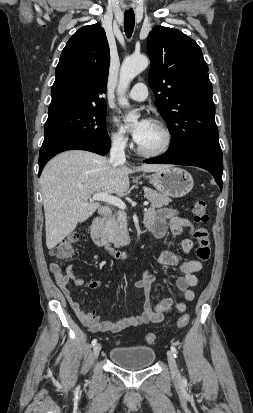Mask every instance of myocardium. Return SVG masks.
I'll use <instances>...</instances> for the list:
<instances>
[{"mask_svg": "<svg viewBox=\"0 0 253 413\" xmlns=\"http://www.w3.org/2000/svg\"><path fill=\"white\" fill-rule=\"evenodd\" d=\"M153 123L164 134V142H163L161 147H159L158 149H155V150H145L137 144L136 150L142 156H146V157L160 156V155L166 153L172 145L173 133H172L171 129L169 128V126L164 121L159 120V119H154Z\"/></svg>", "mask_w": 253, "mask_h": 413, "instance_id": "1", "label": "myocardium"}]
</instances>
